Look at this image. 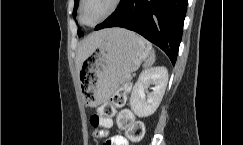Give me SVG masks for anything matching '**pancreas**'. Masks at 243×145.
Masks as SVG:
<instances>
[{"mask_svg": "<svg viewBox=\"0 0 243 145\" xmlns=\"http://www.w3.org/2000/svg\"><path fill=\"white\" fill-rule=\"evenodd\" d=\"M128 81H130V76H128V75L123 76L121 82H122V83H126V82H128Z\"/></svg>", "mask_w": 243, "mask_h": 145, "instance_id": "pancreas-1", "label": "pancreas"}]
</instances>
